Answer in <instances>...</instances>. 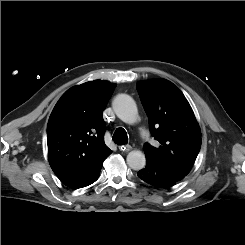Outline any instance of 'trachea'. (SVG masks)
<instances>
[{"mask_svg": "<svg viewBox=\"0 0 245 245\" xmlns=\"http://www.w3.org/2000/svg\"><path fill=\"white\" fill-rule=\"evenodd\" d=\"M112 140L117 145H125L128 142L127 132L123 128H117L113 134Z\"/></svg>", "mask_w": 245, "mask_h": 245, "instance_id": "trachea-1", "label": "trachea"}]
</instances>
